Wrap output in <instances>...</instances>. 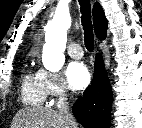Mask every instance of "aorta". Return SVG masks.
<instances>
[{
    "label": "aorta",
    "mask_w": 142,
    "mask_h": 128,
    "mask_svg": "<svg viewBox=\"0 0 142 128\" xmlns=\"http://www.w3.org/2000/svg\"><path fill=\"white\" fill-rule=\"evenodd\" d=\"M71 26L68 13H56L45 27V44L43 47V64L52 72L61 70L64 65V51L67 42V30Z\"/></svg>",
    "instance_id": "762f6f07"
}]
</instances>
